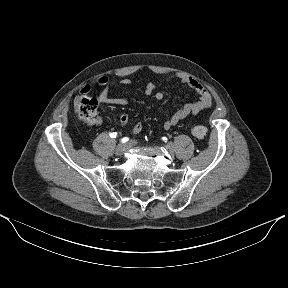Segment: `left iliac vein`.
Wrapping results in <instances>:
<instances>
[{
  "instance_id": "obj_1",
  "label": "left iliac vein",
  "mask_w": 288,
  "mask_h": 288,
  "mask_svg": "<svg viewBox=\"0 0 288 288\" xmlns=\"http://www.w3.org/2000/svg\"><path fill=\"white\" fill-rule=\"evenodd\" d=\"M169 151L172 153V144H169Z\"/></svg>"
}]
</instances>
